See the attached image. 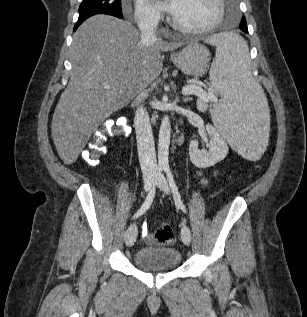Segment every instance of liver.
Returning <instances> with one entry per match:
<instances>
[{"mask_svg": "<svg viewBox=\"0 0 307 317\" xmlns=\"http://www.w3.org/2000/svg\"><path fill=\"white\" fill-rule=\"evenodd\" d=\"M182 45L143 41L133 25L109 15L87 19L73 35L70 81L52 118V138L63 162H75L98 126L160 75L161 51Z\"/></svg>", "mask_w": 307, "mask_h": 317, "instance_id": "liver-1", "label": "liver"}]
</instances>
